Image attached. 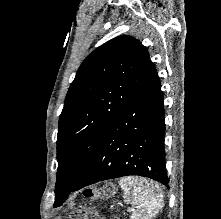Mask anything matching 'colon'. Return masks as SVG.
Wrapping results in <instances>:
<instances>
[{"mask_svg":"<svg viewBox=\"0 0 221 219\" xmlns=\"http://www.w3.org/2000/svg\"><path fill=\"white\" fill-rule=\"evenodd\" d=\"M106 191H110V188H106ZM95 192L87 191L86 196L94 195ZM69 219H101L99 214L93 208H76L72 211Z\"/></svg>","mask_w":221,"mask_h":219,"instance_id":"5ec220e1","label":"colon"}]
</instances>
